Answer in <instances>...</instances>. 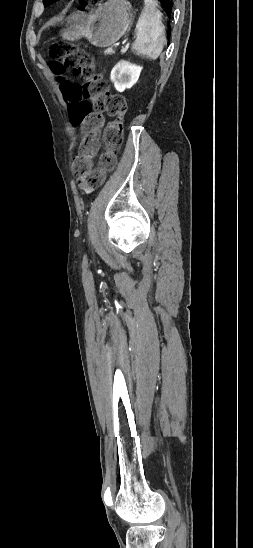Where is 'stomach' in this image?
Returning a JSON list of instances; mask_svg holds the SVG:
<instances>
[{
  "label": "stomach",
  "mask_w": 253,
  "mask_h": 548,
  "mask_svg": "<svg viewBox=\"0 0 253 548\" xmlns=\"http://www.w3.org/2000/svg\"><path fill=\"white\" fill-rule=\"evenodd\" d=\"M132 20V6L128 1L109 0L89 15L76 12L68 16L61 34L70 41L86 37L91 44L106 48L122 37Z\"/></svg>",
  "instance_id": "stomach-1"
}]
</instances>
